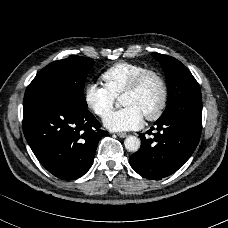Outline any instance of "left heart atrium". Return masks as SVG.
I'll use <instances>...</instances> for the list:
<instances>
[{"label": "left heart atrium", "instance_id": "left-heart-atrium-1", "mask_svg": "<svg viewBox=\"0 0 228 228\" xmlns=\"http://www.w3.org/2000/svg\"><path fill=\"white\" fill-rule=\"evenodd\" d=\"M144 116L134 107L127 106L109 112L104 118L105 127L112 131H128L140 127Z\"/></svg>", "mask_w": 228, "mask_h": 228}]
</instances>
